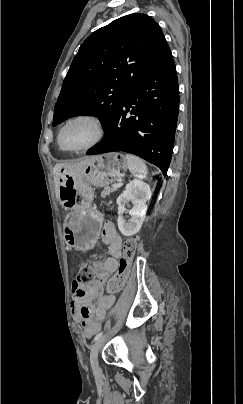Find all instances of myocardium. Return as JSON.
<instances>
[{
  "label": "myocardium",
  "instance_id": "myocardium-1",
  "mask_svg": "<svg viewBox=\"0 0 243 404\" xmlns=\"http://www.w3.org/2000/svg\"><path fill=\"white\" fill-rule=\"evenodd\" d=\"M82 118L89 119L95 123L96 128H97L96 138L94 139V141L92 143H90L89 145H87L83 148L70 149V148L64 147L61 142V136H62L63 130L70 122H72L76 119H82ZM104 137H105V126H104L103 120L97 114L92 113V112H78V113H75V114L69 116L60 125V127L58 129V133H57V142H58V145L60 146V148H62L66 152L85 153V152H88V151L94 149L95 147H97L103 141Z\"/></svg>",
  "mask_w": 243,
  "mask_h": 404
}]
</instances>
